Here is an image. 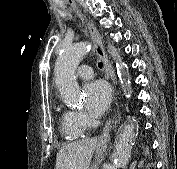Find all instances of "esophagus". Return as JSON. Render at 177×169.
<instances>
[{
	"label": "esophagus",
	"mask_w": 177,
	"mask_h": 169,
	"mask_svg": "<svg viewBox=\"0 0 177 169\" xmlns=\"http://www.w3.org/2000/svg\"><path fill=\"white\" fill-rule=\"evenodd\" d=\"M77 13L81 16V14L79 13L78 10H77ZM87 28H88V30L91 34L92 40L94 42V47H95L96 53H97L98 57L103 62V68L105 70V75L108 79H110L112 81V84L110 86V92H114V95H117V86H116V84H114V77H113V73H112V69H111V64H110L109 59L105 53V50H104V47L102 44V40H101V36L92 23L88 22ZM113 123H114L113 119H110L109 121H107V123L104 127V130H103L102 136H101L102 139L109 138L110 130H111Z\"/></svg>",
	"instance_id": "obj_1"
}]
</instances>
